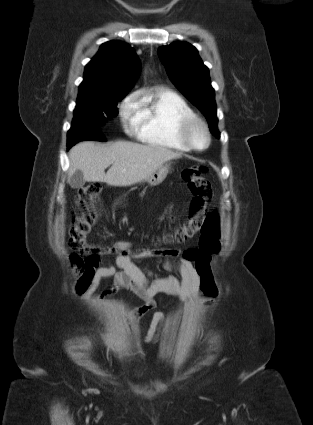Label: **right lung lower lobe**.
<instances>
[{
	"label": "right lung lower lobe",
	"mask_w": 313,
	"mask_h": 425,
	"mask_svg": "<svg viewBox=\"0 0 313 425\" xmlns=\"http://www.w3.org/2000/svg\"><path fill=\"white\" fill-rule=\"evenodd\" d=\"M67 136L68 141L73 140L71 143H67L68 149L79 141H105V138L99 131L97 125L89 121H79L78 125H76L75 127H71V129L68 131Z\"/></svg>",
	"instance_id": "1"
}]
</instances>
